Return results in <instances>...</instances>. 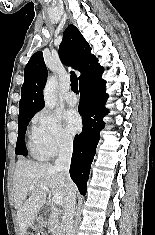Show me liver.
<instances>
[{
  "instance_id": "obj_1",
  "label": "liver",
  "mask_w": 155,
  "mask_h": 235,
  "mask_svg": "<svg viewBox=\"0 0 155 235\" xmlns=\"http://www.w3.org/2000/svg\"><path fill=\"white\" fill-rule=\"evenodd\" d=\"M32 184L34 188H31ZM41 185L47 186L53 195L61 196L65 202L68 185L61 171L50 163L19 159L14 171L13 197L20 235L26 234L46 201L47 193ZM73 189L76 191L74 183Z\"/></svg>"
}]
</instances>
